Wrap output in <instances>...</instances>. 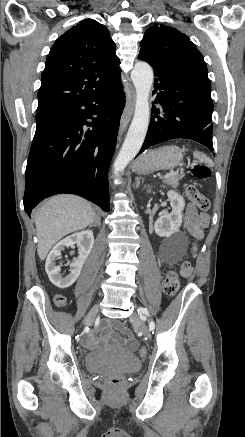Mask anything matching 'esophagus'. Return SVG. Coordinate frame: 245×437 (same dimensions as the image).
Segmentation results:
<instances>
[{
    "mask_svg": "<svg viewBox=\"0 0 245 437\" xmlns=\"http://www.w3.org/2000/svg\"><path fill=\"white\" fill-rule=\"evenodd\" d=\"M134 99H135L134 89H130V106L125 108V110L121 116L119 137L123 134L126 126L128 125V123L130 121L131 115L133 113Z\"/></svg>",
    "mask_w": 245,
    "mask_h": 437,
    "instance_id": "obj_1",
    "label": "esophagus"
}]
</instances>
